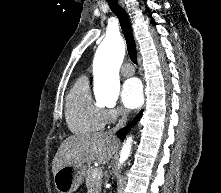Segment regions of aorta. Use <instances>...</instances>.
Here are the masks:
<instances>
[{
  "label": "aorta",
  "mask_w": 221,
  "mask_h": 193,
  "mask_svg": "<svg viewBox=\"0 0 221 193\" xmlns=\"http://www.w3.org/2000/svg\"><path fill=\"white\" fill-rule=\"evenodd\" d=\"M125 47L119 36L106 37L99 45L94 65L96 79L95 96L105 104L115 103L118 99L120 84L118 69L124 58ZM132 138H127L121 151L120 163H123L131 151Z\"/></svg>",
  "instance_id": "762f6f07"
}]
</instances>
